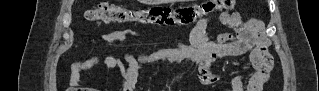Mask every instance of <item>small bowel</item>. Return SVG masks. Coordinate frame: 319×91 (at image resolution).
Instances as JSON below:
<instances>
[{
	"mask_svg": "<svg viewBox=\"0 0 319 91\" xmlns=\"http://www.w3.org/2000/svg\"><path fill=\"white\" fill-rule=\"evenodd\" d=\"M221 24L229 31L210 39L207 33L209 19L200 20L189 34V42H176L165 50L155 51L143 46L141 56L133 57L128 50L130 38H139L132 30L107 33L101 40L106 44H117L125 48L124 58L102 56L74 63L71 82L80 80L81 72L97 66L112 69L121 76L122 91H135L140 70L155 62H168L186 68L188 64L197 65L198 77L205 85H216L220 77L213 65L218 59L249 53L254 72L245 80L242 76L231 80L230 91H260L268 81V71L259 63L262 53L267 50L260 23L239 13H222Z\"/></svg>",
	"mask_w": 319,
	"mask_h": 91,
	"instance_id": "1",
	"label": "small bowel"
}]
</instances>
